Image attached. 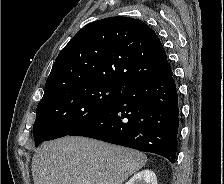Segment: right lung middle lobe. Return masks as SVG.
Segmentation results:
<instances>
[{
    "label": "right lung middle lobe",
    "instance_id": "right-lung-middle-lobe-1",
    "mask_svg": "<svg viewBox=\"0 0 224 184\" xmlns=\"http://www.w3.org/2000/svg\"><path fill=\"white\" fill-rule=\"evenodd\" d=\"M125 85L86 82L39 102L33 126L35 145L66 135L91 121L120 95Z\"/></svg>",
    "mask_w": 224,
    "mask_h": 184
}]
</instances>
